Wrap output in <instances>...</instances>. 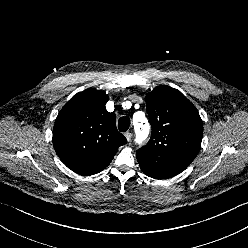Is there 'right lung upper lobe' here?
Wrapping results in <instances>:
<instances>
[{
    "instance_id": "right-lung-upper-lobe-1",
    "label": "right lung upper lobe",
    "mask_w": 248,
    "mask_h": 248,
    "mask_svg": "<svg viewBox=\"0 0 248 248\" xmlns=\"http://www.w3.org/2000/svg\"><path fill=\"white\" fill-rule=\"evenodd\" d=\"M108 95L94 88L73 96L59 112L53 146L61 161L88 176L105 169L126 138L117 131L116 115L106 110Z\"/></svg>"
}]
</instances>
